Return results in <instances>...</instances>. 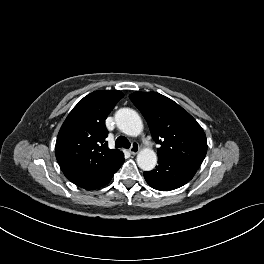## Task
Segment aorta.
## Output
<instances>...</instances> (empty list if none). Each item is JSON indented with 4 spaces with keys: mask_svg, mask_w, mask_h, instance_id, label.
Returning a JSON list of instances; mask_svg holds the SVG:
<instances>
[{
    "mask_svg": "<svg viewBox=\"0 0 264 264\" xmlns=\"http://www.w3.org/2000/svg\"><path fill=\"white\" fill-rule=\"evenodd\" d=\"M117 127L126 135L137 136L143 130V123L139 114L130 108L119 109L115 114ZM137 164L144 171L154 169L157 155L150 148L142 149L137 155Z\"/></svg>",
    "mask_w": 264,
    "mask_h": 264,
    "instance_id": "1",
    "label": "aorta"
}]
</instances>
